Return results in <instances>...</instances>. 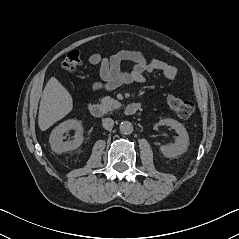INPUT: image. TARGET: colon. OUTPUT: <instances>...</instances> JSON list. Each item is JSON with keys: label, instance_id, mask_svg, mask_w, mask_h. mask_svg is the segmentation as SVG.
Segmentation results:
<instances>
[{"label": "colon", "instance_id": "obj_1", "mask_svg": "<svg viewBox=\"0 0 239 239\" xmlns=\"http://www.w3.org/2000/svg\"><path fill=\"white\" fill-rule=\"evenodd\" d=\"M82 64V57L78 50L69 52L63 60L62 67L66 71H74ZM170 108L182 119H188L194 112V104L191 101L170 95L167 98Z\"/></svg>", "mask_w": 239, "mask_h": 239}]
</instances>
